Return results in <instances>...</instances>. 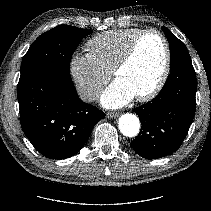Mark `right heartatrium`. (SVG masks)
Here are the masks:
<instances>
[{
    "label": "right heart atrium",
    "mask_w": 211,
    "mask_h": 211,
    "mask_svg": "<svg viewBox=\"0 0 211 211\" xmlns=\"http://www.w3.org/2000/svg\"><path fill=\"white\" fill-rule=\"evenodd\" d=\"M69 73L78 95L87 102L98 97L110 78V73L104 71L89 53L72 54L69 59Z\"/></svg>",
    "instance_id": "right-heart-atrium-1"
}]
</instances>
